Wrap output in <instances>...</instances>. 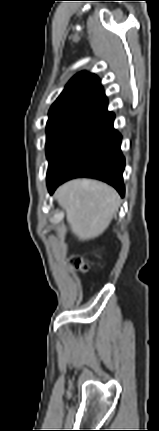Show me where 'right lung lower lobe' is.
Masks as SVG:
<instances>
[{
	"mask_svg": "<svg viewBox=\"0 0 159 431\" xmlns=\"http://www.w3.org/2000/svg\"><path fill=\"white\" fill-rule=\"evenodd\" d=\"M115 115L107 112L71 134L49 160L48 190L52 194L63 182L89 177L112 185L123 197L125 158L121 134L113 128Z\"/></svg>",
	"mask_w": 159,
	"mask_h": 431,
	"instance_id": "1",
	"label": "right lung lower lobe"
}]
</instances>
